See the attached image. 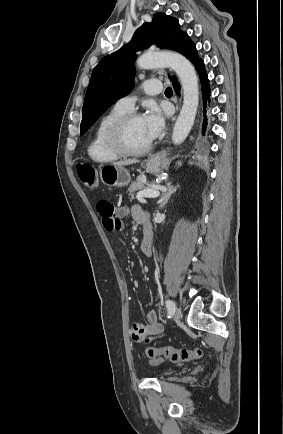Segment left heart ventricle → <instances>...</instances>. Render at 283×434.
<instances>
[{"label": "left heart ventricle", "mask_w": 283, "mask_h": 434, "mask_svg": "<svg viewBox=\"0 0 283 434\" xmlns=\"http://www.w3.org/2000/svg\"><path fill=\"white\" fill-rule=\"evenodd\" d=\"M126 141L132 148H142L151 142L144 131L141 118L135 119L127 127Z\"/></svg>", "instance_id": "1"}]
</instances>
